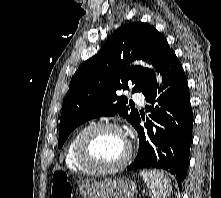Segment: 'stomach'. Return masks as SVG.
<instances>
[{
    "instance_id": "1",
    "label": "stomach",
    "mask_w": 221,
    "mask_h": 198,
    "mask_svg": "<svg viewBox=\"0 0 221 198\" xmlns=\"http://www.w3.org/2000/svg\"><path fill=\"white\" fill-rule=\"evenodd\" d=\"M79 190L83 198H132L137 186L128 178L103 181L87 179L80 183Z\"/></svg>"
}]
</instances>
